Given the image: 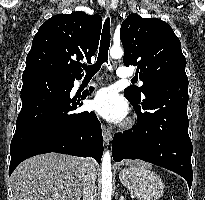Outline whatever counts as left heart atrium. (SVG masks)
<instances>
[{
    "instance_id": "obj_1",
    "label": "left heart atrium",
    "mask_w": 205,
    "mask_h": 200,
    "mask_svg": "<svg viewBox=\"0 0 205 200\" xmlns=\"http://www.w3.org/2000/svg\"><path fill=\"white\" fill-rule=\"evenodd\" d=\"M93 109L105 119L122 122L127 116L128 107L114 87L98 90L92 100Z\"/></svg>"
}]
</instances>
